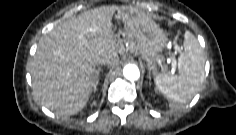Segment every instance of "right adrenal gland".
Segmentation results:
<instances>
[{
  "label": "right adrenal gland",
  "mask_w": 236,
  "mask_h": 135,
  "mask_svg": "<svg viewBox=\"0 0 236 135\" xmlns=\"http://www.w3.org/2000/svg\"><path fill=\"white\" fill-rule=\"evenodd\" d=\"M99 83V69L96 70L93 82V91L94 93L97 91V85Z\"/></svg>",
  "instance_id": "2a0ac1e0"
}]
</instances>
